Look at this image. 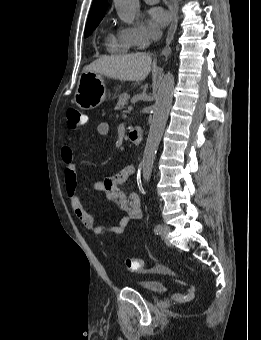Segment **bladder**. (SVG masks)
<instances>
[{"label": "bladder", "mask_w": 261, "mask_h": 340, "mask_svg": "<svg viewBox=\"0 0 261 340\" xmlns=\"http://www.w3.org/2000/svg\"><path fill=\"white\" fill-rule=\"evenodd\" d=\"M135 287L150 295L160 294L166 289L165 282L159 279L141 281Z\"/></svg>", "instance_id": "31cf9c89"}]
</instances>
